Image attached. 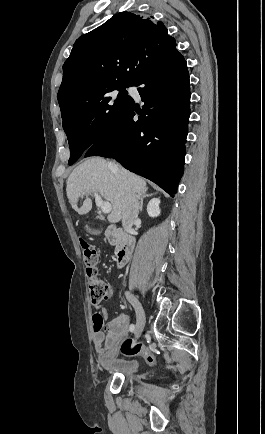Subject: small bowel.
I'll return each instance as SVG.
<instances>
[{"label": "small bowel", "mask_w": 265, "mask_h": 434, "mask_svg": "<svg viewBox=\"0 0 265 434\" xmlns=\"http://www.w3.org/2000/svg\"><path fill=\"white\" fill-rule=\"evenodd\" d=\"M96 308L104 317H107L108 313L106 309L100 308V306H97ZM128 325V316L120 314L110 319L101 331L93 334L92 341L94 348L98 353V364L110 365L113 362V359L110 356H113L116 353V347L127 336Z\"/></svg>", "instance_id": "small-bowel-1"}]
</instances>
